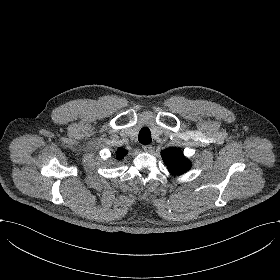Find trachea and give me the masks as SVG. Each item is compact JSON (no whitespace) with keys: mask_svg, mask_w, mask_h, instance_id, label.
Masks as SVG:
<instances>
[{"mask_svg":"<svg viewBox=\"0 0 280 280\" xmlns=\"http://www.w3.org/2000/svg\"><path fill=\"white\" fill-rule=\"evenodd\" d=\"M151 132L148 127H143L139 132V142L148 145L151 143Z\"/></svg>","mask_w":280,"mask_h":280,"instance_id":"trachea-1","label":"trachea"}]
</instances>
